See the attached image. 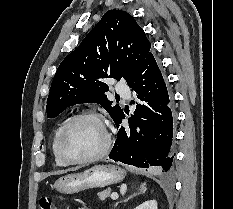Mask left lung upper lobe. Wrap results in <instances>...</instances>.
Wrapping results in <instances>:
<instances>
[{
  "label": "left lung upper lobe",
  "instance_id": "5c2ea615",
  "mask_svg": "<svg viewBox=\"0 0 233 209\" xmlns=\"http://www.w3.org/2000/svg\"><path fill=\"white\" fill-rule=\"evenodd\" d=\"M151 44L135 19L125 11L109 10L81 44L59 65L47 99V117L66 107L99 103L114 122L123 110L107 99L106 78L127 82L150 54Z\"/></svg>",
  "mask_w": 233,
  "mask_h": 209
}]
</instances>
